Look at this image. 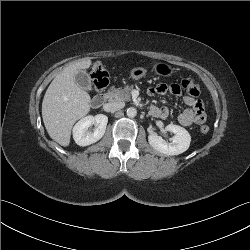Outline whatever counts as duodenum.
Masks as SVG:
<instances>
[{
	"label": "duodenum",
	"mask_w": 250,
	"mask_h": 250,
	"mask_svg": "<svg viewBox=\"0 0 250 250\" xmlns=\"http://www.w3.org/2000/svg\"><path fill=\"white\" fill-rule=\"evenodd\" d=\"M106 101V95L105 94H98L92 99V107L99 108L101 107Z\"/></svg>",
	"instance_id": "1"
}]
</instances>
